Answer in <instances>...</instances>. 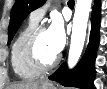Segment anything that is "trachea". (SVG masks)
I'll list each match as a JSON object with an SVG mask.
<instances>
[{"label": "trachea", "instance_id": "trachea-1", "mask_svg": "<svg viewBox=\"0 0 107 89\" xmlns=\"http://www.w3.org/2000/svg\"><path fill=\"white\" fill-rule=\"evenodd\" d=\"M74 4H75V2L73 0L68 2V5H74Z\"/></svg>", "mask_w": 107, "mask_h": 89}]
</instances>
